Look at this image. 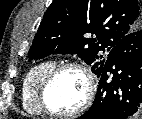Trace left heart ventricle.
Instances as JSON below:
<instances>
[{
	"label": "left heart ventricle",
	"instance_id": "1",
	"mask_svg": "<svg viewBox=\"0 0 142 119\" xmlns=\"http://www.w3.org/2000/svg\"><path fill=\"white\" fill-rule=\"evenodd\" d=\"M85 93V80L75 69L60 72L47 92L49 106L58 112H68L77 108Z\"/></svg>",
	"mask_w": 142,
	"mask_h": 119
}]
</instances>
